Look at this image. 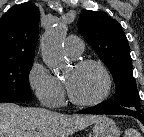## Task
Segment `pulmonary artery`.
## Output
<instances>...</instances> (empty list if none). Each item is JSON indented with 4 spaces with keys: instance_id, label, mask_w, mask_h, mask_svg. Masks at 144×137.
Returning <instances> with one entry per match:
<instances>
[{
    "instance_id": "e3ab8cb5",
    "label": "pulmonary artery",
    "mask_w": 144,
    "mask_h": 137,
    "mask_svg": "<svg viewBox=\"0 0 144 137\" xmlns=\"http://www.w3.org/2000/svg\"><path fill=\"white\" fill-rule=\"evenodd\" d=\"M65 50L69 56H78L83 50V41L77 36L71 35L65 41Z\"/></svg>"
}]
</instances>
